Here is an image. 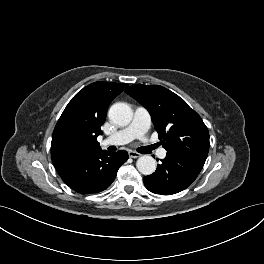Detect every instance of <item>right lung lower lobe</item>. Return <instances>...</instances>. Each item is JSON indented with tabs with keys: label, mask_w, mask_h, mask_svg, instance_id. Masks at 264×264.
<instances>
[{
	"label": "right lung lower lobe",
	"mask_w": 264,
	"mask_h": 264,
	"mask_svg": "<svg viewBox=\"0 0 264 264\" xmlns=\"http://www.w3.org/2000/svg\"><path fill=\"white\" fill-rule=\"evenodd\" d=\"M128 159L126 151H99L60 171V177L74 191L81 194L98 193L114 181L120 166Z\"/></svg>",
	"instance_id": "1"
}]
</instances>
